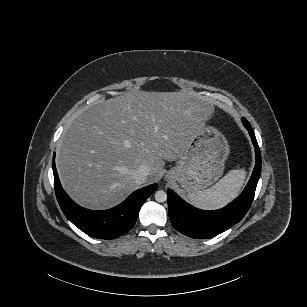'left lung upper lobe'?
Listing matches in <instances>:
<instances>
[{
    "mask_svg": "<svg viewBox=\"0 0 307 307\" xmlns=\"http://www.w3.org/2000/svg\"><path fill=\"white\" fill-rule=\"evenodd\" d=\"M242 122L244 125L250 126V123L245 118H242Z\"/></svg>",
    "mask_w": 307,
    "mask_h": 307,
    "instance_id": "1",
    "label": "left lung upper lobe"
}]
</instances>
